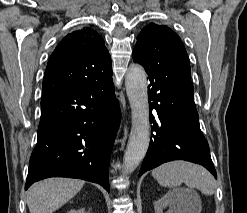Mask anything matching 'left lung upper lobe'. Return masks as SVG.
I'll use <instances>...</instances> for the list:
<instances>
[{
  "label": "left lung upper lobe",
  "mask_w": 247,
  "mask_h": 213,
  "mask_svg": "<svg viewBox=\"0 0 247 213\" xmlns=\"http://www.w3.org/2000/svg\"><path fill=\"white\" fill-rule=\"evenodd\" d=\"M132 58L146 69L161 70L175 67L190 72L187 52L179 36L170 28L151 23L137 36Z\"/></svg>",
  "instance_id": "left-lung-upper-lobe-1"
}]
</instances>
